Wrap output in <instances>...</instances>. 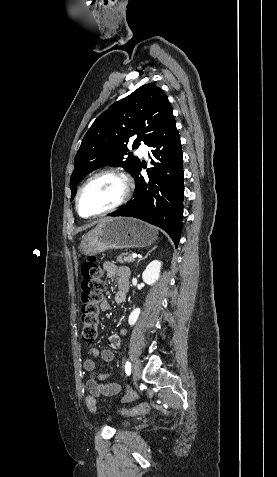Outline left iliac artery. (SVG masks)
Instances as JSON below:
<instances>
[{
  "label": "left iliac artery",
  "mask_w": 277,
  "mask_h": 477,
  "mask_svg": "<svg viewBox=\"0 0 277 477\" xmlns=\"http://www.w3.org/2000/svg\"><path fill=\"white\" fill-rule=\"evenodd\" d=\"M125 371H126V374H127V375H130V373H131V364H130L129 362H126Z\"/></svg>",
  "instance_id": "1"
}]
</instances>
